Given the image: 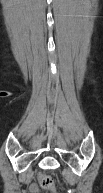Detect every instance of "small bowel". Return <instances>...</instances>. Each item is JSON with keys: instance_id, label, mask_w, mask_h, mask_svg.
I'll use <instances>...</instances> for the list:
<instances>
[{"instance_id": "1", "label": "small bowel", "mask_w": 103, "mask_h": 193, "mask_svg": "<svg viewBox=\"0 0 103 193\" xmlns=\"http://www.w3.org/2000/svg\"><path fill=\"white\" fill-rule=\"evenodd\" d=\"M36 189H37V187H36L35 185H32V186H31V190H32V191H36Z\"/></svg>"}]
</instances>
